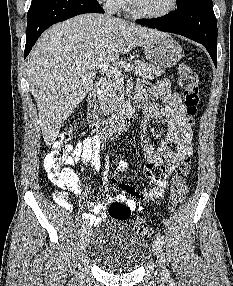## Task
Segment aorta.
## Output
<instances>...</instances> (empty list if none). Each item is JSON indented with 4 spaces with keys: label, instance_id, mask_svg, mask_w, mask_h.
<instances>
[{
    "label": "aorta",
    "instance_id": "aorta-1",
    "mask_svg": "<svg viewBox=\"0 0 233 286\" xmlns=\"http://www.w3.org/2000/svg\"><path fill=\"white\" fill-rule=\"evenodd\" d=\"M118 125H119L120 129L124 128V121L120 120Z\"/></svg>",
    "mask_w": 233,
    "mask_h": 286
}]
</instances>
